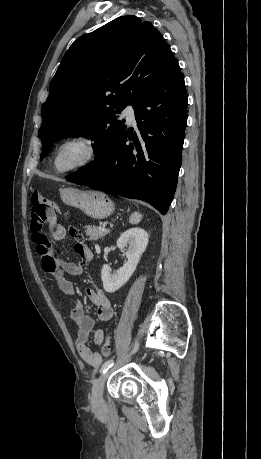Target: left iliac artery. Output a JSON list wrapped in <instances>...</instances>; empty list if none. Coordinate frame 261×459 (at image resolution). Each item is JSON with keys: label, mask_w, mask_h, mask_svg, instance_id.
Returning <instances> with one entry per match:
<instances>
[{"label": "left iliac artery", "mask_w": 261, "mask_h": 459, "mask_svg": "<svg viewBox=\"0 0 261 459\" xmlns=\"http://www.w3.org/2000/svg\"><path fill=\"white\" fill-rule=\"evenodd\" d=\"M138 347H139V344H138V342H136V344H135V346H134V349H133V353H135V352L138 350ZM113 364H114V361H113L112 359L106 361V362L102 365V367H101V369H100V373H105V372H107L108 369L111 368V367L113 366Z\"/></svg>", "instance_id": "left-iliac-artery-1"}]
</instances>
